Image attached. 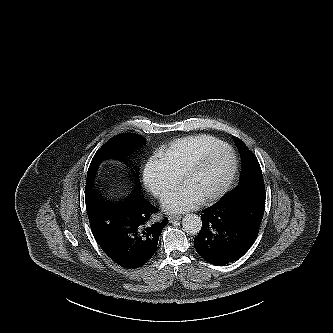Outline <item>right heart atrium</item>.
Returning <instances> with one entry per match:
<instances>
[{
  "label": "right heart atrium",
  "instance_id": "right-heart-atrium-1",
  "mask_svg": "<svg viewBox=\"0 0 333 333\" xmlns=\"http://www.w3.org/2000/svg\"><path fill=\"white\" fill-rule=\"evenodd\" d=\"M142 180L150 193L155 197H161L177 183L178 176L172 173L160 154H153L144 165Z\"/></svg>",
  "mask_w": 333,
  "mask_h": 333
}]
</instances>
